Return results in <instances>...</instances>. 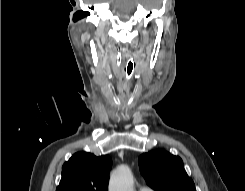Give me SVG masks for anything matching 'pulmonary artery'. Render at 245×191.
I'll list each match as a JSON object with an SVG mask.
<instances>
[{"mask_svg": "<svg viewBox=\"0 0 245 191\" xmlns=\"http://www.w3.org/2000/svg\"><path fill=\"white\" fill-rule=\"evenodd\" d=\"M139 191H153V190L149 187H141Z\"/></svg>", "mask_w": 245, "mask_h": 191, "instance_id": "obj_1", "label": "pulmonary artery"}]
</instances>
